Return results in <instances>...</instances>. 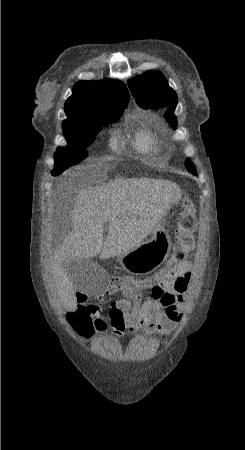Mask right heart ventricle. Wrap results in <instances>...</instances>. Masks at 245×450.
I'll return each mask as SVG.
<instances>
[{
    "label": "right heart ventricle",
    "instance_id": "obj_1",
    "mask_svg": "<svg viewBox=\"0 0 245 450\" xmlns=\"http://www.w3.org/2000/svg\"><path fill=\"white\" fill-rule=\"evenodd\" d=\"M155 146V141L149 132H141L135 141V147L139 151H149Z\"/></svg>",
    "mask_w": 245,
    "mask_h": 450
}]
</instances>
